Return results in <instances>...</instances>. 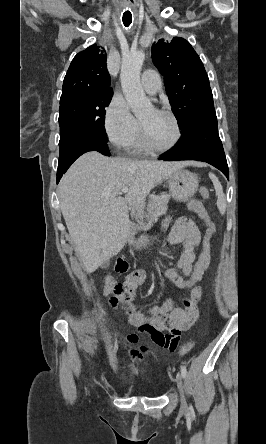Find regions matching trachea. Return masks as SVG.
Listing matches in <instances>:
<instances>
[{
	"instance_id": "1",
	"label": "trachea",
	"mask_w": 266,
	"mask_h": 444,
	"mask_svg": "<svg viewBox=\"0 0 266 444\" xmlns=\"http://www.w3.org/2000/svg\"><path fill=\"white\" fill-rule=\"evenodd\" d=\"M122 21L125 27H129L132 23V14L129 11H126L123 14Z\"/></svg>"
}]
</instances>
